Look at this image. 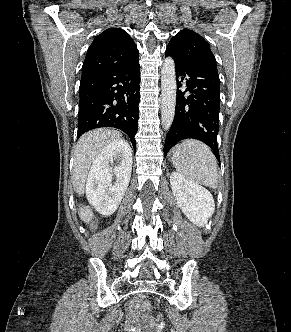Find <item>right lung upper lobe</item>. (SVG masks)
Masks as SVG:
<instances>
[{"label": "right lung upper lobe", "mask_w": 291, "mask_h": 332, "mask_svg": "<svg viewBox=\"0 0 291 332\" xmlns=\"http://www.w3.org/2000/svg\"><path fill=\"white\" fill-rule=\"evenodd\" d=\"M138 57L129 34L120 28H109L95 37L88 48L82 74L128 64Z\"/></svg>", "instance_id": "right-lung-upper-lobe-1"}]
</instances>
